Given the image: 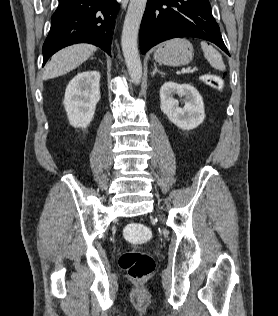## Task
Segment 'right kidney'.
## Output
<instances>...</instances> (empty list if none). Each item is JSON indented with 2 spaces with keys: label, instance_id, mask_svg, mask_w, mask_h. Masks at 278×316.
I'll use <instances>...</instances> for the list:
<instances>
[{
  "label": "right kidney",
  "instance_id": "ca27d5eb",
  "mask_svg": "<svg viewBox=\"0 0 278 316\" xmlns=\"http://www.w3.org/2000/svg\"><path fill=\"white\" fill-rule=\"evenodd\" d=\"M99 100L100 73L95 70L78 73L67 85L63 101L70 125L86 128Z\"/></svg>",
  "mask_w": 278,
  "mask_h": 316
}]
</instances>
